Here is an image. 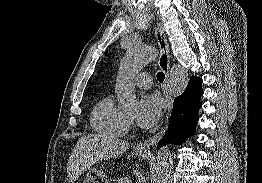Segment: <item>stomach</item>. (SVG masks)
Masks as SVG:
<instances>
[{"label": "stomach", "instance_id": "stomach-1", "mask_svg": "<svg viewBox=\"0 0 262 183\" xmlns=\"http://www.w3.org/2000/svg\"><path fill=\"white\" fill-rule=\"evenodd\" d=\"M137 154L146 158L148 156L147 152H137ZM83 183H110L108 176L103 172L97 170L96 168L88 169Z\"/></svg>", "mask_w": 262, "mask_h": 183}]
</instances>
